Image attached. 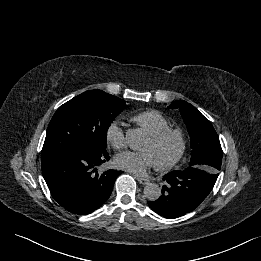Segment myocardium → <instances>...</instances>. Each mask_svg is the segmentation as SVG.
<instances>
[{
    "label": "myocardium",
    "instance_id": "1",
    "mask_svg": "<svg viewBox=\"0 0 261 261\" xmlns=\"http://www.w3.org/2000/svg\"><path fill=\"white\" fill-rule=\"evenodd\" d=\"M170 138H176L178 141V149L176 154L169 160L157 164L160 171H167L177 165L184 157L187 150V138L185 132L178 127H168L161 132L151 135L150 140L154 144H162Z\"/></svg>",
    "mask_w": 261,
    "mask_h": 261
}]
</instances>
